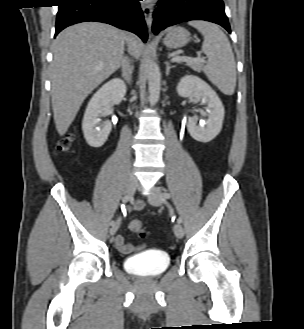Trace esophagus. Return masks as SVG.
Masks as SVG:
<instances>
[{
  "mask_svg": "<svg viewBox=\"0 0 304 329\" xmlns=\"http://www.w3.org/2000/svg\"><path fill=\"white\" fill-rule=\"evenodd\" d=\"M142 11L144 13L145 21L148 26V28L151 27L152 21H153V7L152 4L148 2V0H143L142 2Z\"/></svg>",
  "mask_w": 304,
  "mask_h": 329,
  "instance_id": "obj_1",
  "label": "esophagus"
}]
</instances>
